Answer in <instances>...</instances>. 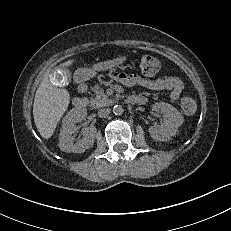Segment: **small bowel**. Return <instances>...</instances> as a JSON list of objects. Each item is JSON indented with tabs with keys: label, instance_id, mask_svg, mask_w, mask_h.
<instances>
[{
	"label": "small bowel",
	"instance_id": "c3829d8e",
	"mask_svg": "<svg viewBox=\"0 0 231 231\" xmlns=\"http://www.w3.org/2000/svg\"><path fill=\"white\" fill-rule=\"evenodd\" d=\"M111 77L129 88L139 86L149 90L169 91L172 100H178L184 88L182 80L176 76H163L155 79H148L135 74L113 72L111 73Z\"/></svg>",
	"mask_w": 231,
	"mask_h": 231
}]
</instances>
